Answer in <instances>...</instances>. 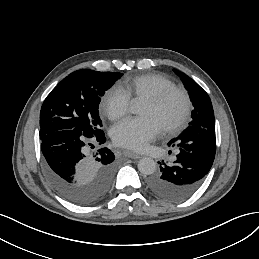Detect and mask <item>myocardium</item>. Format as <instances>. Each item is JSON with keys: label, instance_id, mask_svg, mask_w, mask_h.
I'll return each instance as SVG.
<instances>
[{"label": "myocardium", "instance_id": "obj_1", "mask_svg": "<svg viewBox=\"0 0 259 259\" xmlns=\"http://www.w3.org/2000/svg\"><path fill=\"white\" fill-rule=\"evenodd\" d=\"M175 95H179L182 98L183 110L179 118L174 123L161 128V130L168 135H173L179 132L190 117L192 101L189 92L183 87L173 85L162 90L156 95L146 98L151 105L159 107Z\"/></svg>", "mask_w": 259, "mask_h": 259}]
</instances>
